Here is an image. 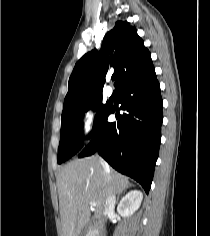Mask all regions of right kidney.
Instances as JSON below:
<instances>
[{
	"mask_svg": "<svg viewBox=\"0 0 210 236\" xmlns=\"http://www.w3.org/2000/svg\"><path fill=\"white\" fill-rule=\"evenodd\" d=\"M142 200V192L139 190H132L121 199L117 211L121 216L129 217L140 207Z\"/></svg>",
	"mask_w": 210,
	"mask_h": 236,
	"instance_id": "right-kidney-1",
	"label": "right kidney"
}]
</instances>
